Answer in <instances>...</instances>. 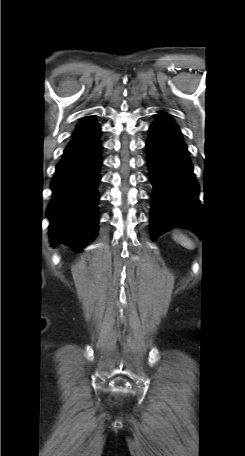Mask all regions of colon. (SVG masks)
<instances>
[{"mask_svg": "<svg viewBox=\"0 0 245 456\" xmlns=\"http://www.w3.org/2000/svg\"><path fill=\"white\" fill-rule=\"evenodd\" d=\"M111 401H116V397H115V396H112V397H111Z\"/></svg>", "mask_w": 245, "mask_h": 456, "instance_id": "obj_1", "label": "colon"}]
</instances>
